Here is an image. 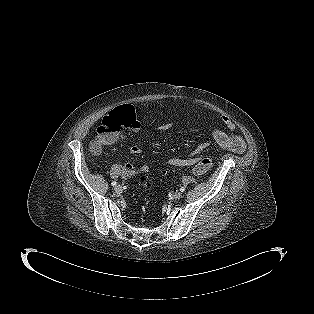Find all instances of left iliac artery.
I'll use <instances>...</instances> for the list:
<instances>
[{"label": "left iliac artery", "mask_w": 314, "mask_h": 314, "mask_svg": "<svg viewBox=\"0 0 314 314\" xmlns=\"http://www.w3.org/2000/svg\"><path fill=\"white\" fill-rule=\"evenodd\" d=\"M180 191H181V192H184V191H185V187H181V188H180Z\"/></svg>", "instance_id": "44dca946"}]
</instances>
